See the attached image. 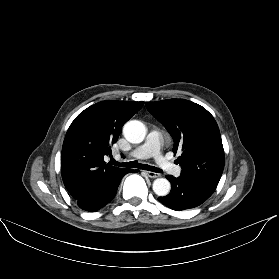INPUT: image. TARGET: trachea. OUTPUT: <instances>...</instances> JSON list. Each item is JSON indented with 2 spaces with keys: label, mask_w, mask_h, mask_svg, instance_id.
Returning a JSON list of instances; mask_svg holds the SVG:
<instances>
[{
  "label": "trachea",
  "mask_w": 279,
  "mask_h": 279,
  "mask_svg": "<svg viewBox=\"0 0 279 279\" xmlns=\"http://www.w3.org/2000/svg\"><path fill=\"white\" fill-rule=\"evenodd\" d=\"M111 163H112V165H116V166H119V167L139 168V169H142V170H148V171H152V172H156V173H162V170L160 168L150 166V165H146V164H141V163H138V161H130V162L119 163V162H116L113 159L111 161Z\"/></svg>",
  "instance_id": "obj_1"
}]
</instances>
